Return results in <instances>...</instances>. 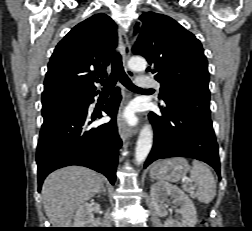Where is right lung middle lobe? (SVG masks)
<instances>
[{"label":"right lung middle lobe","instance_id":"obj_1","mask_svg":"<svg viewBox=\"0 0 252 231\" xmlns=\"http://www.w3.org/2000/svg\"><path fill=\"white\" fill-rule=\"evenodd\" d=\"M42 104V115L44 118H47L65 110H72L80 104V97H58L47 101H42Z\"/></svg>","mask_w":252,"mask_h":231}]
</instances>
